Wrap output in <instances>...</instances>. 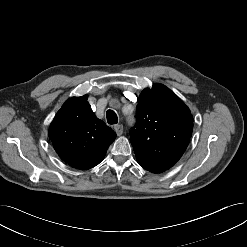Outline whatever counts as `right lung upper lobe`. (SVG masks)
Segmentation results:
<instances>
[{"label": "right lung upper lobe", "instance_id": "obj_1", "mask_svg": "<svg viewBox=\"0 0 247 247\" xmlns=\"http://www.w3.org/2000/svg\"><path fill=\"white\" fill-rule=\"evenodd\" d=\"M87 98L84 95L67 100L49 129L60 158L81 170L98 165L116 138V133L95 116Z\"/></svg>", "mask_w": 247, "mask_h": 247}]
</instances>
